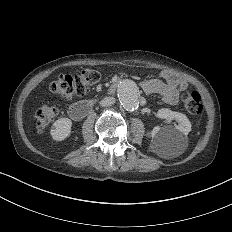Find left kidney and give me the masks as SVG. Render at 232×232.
Returning <instances> with one entry per match:
<instances>
[{"label":"left kidney","instance_id":"1","mask_svg":"<svg viewBox=\"0 0 232 232\" xmlns=\"http://www.w3.org/2000/svg\"><path fill=\"white\" fill-rule=\"evenodd\" d=\"M156 116L176 120L178 125L163 128L155 126L152 130L151 148L155 151L164 150L166 153L183 151L187 147V135L191 131V123L186 115L163 108L158 110Z\"/></svg>","mask_w":232,"mask_h":232}]
</instances>
